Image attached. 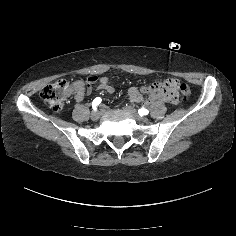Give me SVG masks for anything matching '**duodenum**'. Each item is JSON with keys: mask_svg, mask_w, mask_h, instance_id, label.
Returning a JSON list of instances; mask_svg holds the SVG:
<instances>
[{"mask_svg": "<svg viewBox=\"0 0 236 236\" xmlns=\"http://www.w3.org/2000/svg\"><path fill=\"white\" fill-rule=\"evenodd\" d=\"M158 100L175 103L174 86L171 83L165 82L160 84L158 88L153 91L152 95L145 101V103L147 105H151Z\"/></svg>", "mask_w": 236, "mask_h": 236, "instance_id": "duodenum-1", "label": "duodenum"}]
</instances>
